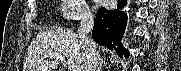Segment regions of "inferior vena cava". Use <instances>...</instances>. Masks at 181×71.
I'll return each instance as SVG.
<instances>
[{
  "instance_id": "602c4592",
  "label": "inferior vena cava",
  "mask_w": 181,
  "mask_h": 71,
  "mask_svg": "<svg viewBox=\"0 0 181 71\" xmlns=\"http://www.w3.org/2000/svg\"><path fill=\"white\" fill-rule=\"evenodd\" d=\"M94 26V16L88 12L84 14L80 20L78 28V36L81 45L85 49V69L84 71H100V56L97 51L95 42L89 38V34Z\"/></svg>"
}]
</instances>
